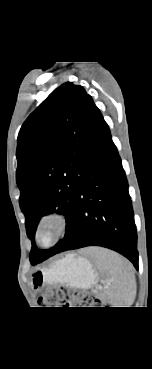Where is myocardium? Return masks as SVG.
I'll return each instance as SVG.
<instances>
[{
    "label": "myocardium",
    "mask_w": 152,
    "mask_h": 369,
    "mask_svg": "<svg viewBox=\"0 0 152 369\" xmlns=\"http://www.w3.org/2000/svg\"><path fill=\"white\" fill-rule=\"evenodd\" d=\"M53 229V236L49 242L44 243L41 240L42 232L46 228ZM67 229V219L62 212L52 211L45 214L39 221L36 229L35 239L37 244L42 248H50L54 246L65 235Z\"/></svg>",
    "instance_id": "1"
}]
</instances>
